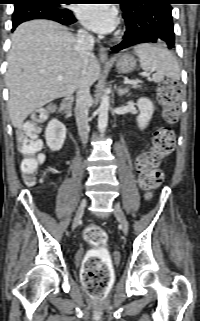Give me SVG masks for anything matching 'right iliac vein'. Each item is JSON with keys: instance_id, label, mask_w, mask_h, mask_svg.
Instances as JSON below:
<instances>
[{"instance_id": "right-iliac-vein-1", "label": "right iliac vein", "mask_w": 200, "mask_h": 321, "mask_svg": "<svg viewBox=\"0 0 200 321\" xmlns=\"http://www.w3.org/2000/svg\"><path fill=\"white\" fill-rule=\"evenodd\" d=\"M86 206V199L83 198L77 208L75 217H74V221H73V225H77V223L79 222L80 218L82 217L83 213H84V209Z\"/></svg>"}]
</instances>
